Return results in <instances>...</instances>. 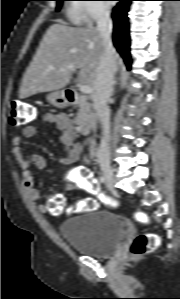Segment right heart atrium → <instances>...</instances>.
<instances>
[{"mask_svg":"<svg viewBox=\"0 0 180 299\" xmlns=\"http://www.w3.org/2000/svg\"><path fill=\"white\" fill-rule=\"evenodd\" d=\"M80 2H89L74 8L80 20L86 22L97 21L105 18L110 12L109 7L103 0H84Z\"/></svg>","mask_w":180,"mask_h":299,"instance_id":"right-heart-atrium-1","label":"right heart atrium"}]
</instances>
